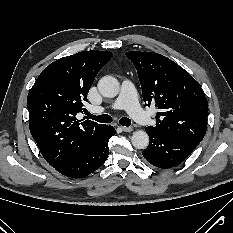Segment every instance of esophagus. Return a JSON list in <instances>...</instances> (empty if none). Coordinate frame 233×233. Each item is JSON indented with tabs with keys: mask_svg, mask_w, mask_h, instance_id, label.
I'll return each mask as SVG.
<instances>
[{
	"mask_svg": "<svg viewBox=\"0 0 233 233\" xmlns=\"http://www.w3.org/2000/svg\"><path fill=\"white\" fill-rule=\"evenodd\" d=\"M121 129L124 132H131V131H133L132 127H127V126H121Z\"/></svg>",
	"mask_w": 233,
	"mask_h": 233,
	"instance_id": "34e87169",
	"label": "esophagus"
}]
</instances>
